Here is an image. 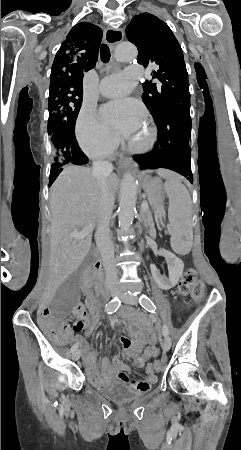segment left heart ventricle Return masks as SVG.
<instances>
[{
  "instance_id": "obj_1",
  "label": "left heart ventricle",
  "mask_w": 241,
  "mask_h": 450,
  "mask_svg": "<svg viewBox=\"0 0 241 450\" xmlns=\"http://www.w3.org/2000/svg\"><path fill=\"white\" fill-rule=\"evenodd\" d=\"M146 131L147 129L145 126H138L137 128H134L133 132L129 135L128 138L131 148H135L142 144L143 140L147 137Z\"/></svg>"
}]
</instances>
